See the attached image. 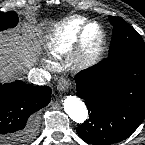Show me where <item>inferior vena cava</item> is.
<instances>
[{"label":"inferior vena cava","instance_id":"inferior-vena-cava-1","mask_svg":"<svg viewBox=\"0 0 145 145\" xmlns=\"http://www.w3.org/2000/svg\"><path fill=\"white\" fill-rule=\"evenodd\" d=\"M28 78L30 82L38 85H44L48 80V76L44 72L38 70L31 72Z\"/></svg>","mask_w":145,"mask_h":145}]
</instances>
